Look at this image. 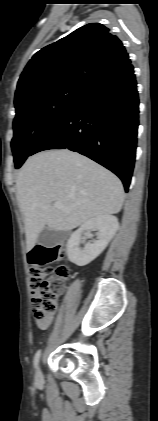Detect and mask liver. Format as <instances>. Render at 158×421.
<instances>
[{
  "label": "liver",
  "mask_w": 158,
  "mask_h": 421,
  "mask_svg": "<svg viewBox=\"0 0 158 421\" xmlns=\"http://www.w3.org/2000/svg\"><path fill=\"white\" fill-rule=\"evenodd\" d=\"M17 201L31 250L40 232L70 231L89 219L118 213L124 190L119 178L92 160L67 149L29 157L17 180ZM61 202L65 209L53 206Z\"/></svg>",
  "instance_id": "obj_1"
}]
</instances>
